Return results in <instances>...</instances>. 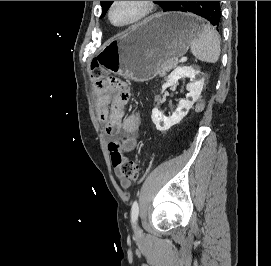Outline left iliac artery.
Here are the masks:
<instances>
[{"instance_id": "44dca946", "label": "left iliac artery", "mask_w": 271, "mask_h": 266, "mask_svg": "<svg viewBox=\"0 0 271 266\" xmlns=\"http://www.w3.org/2000/svg\"><path fill=\"white\" fill-rule=\"evenodd\" d=\"M139 214V206L137 201H134L131 208V221L135 225Z\"/></svg>"}]
</instances>
